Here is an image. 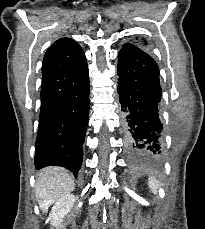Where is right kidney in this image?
Segmentation results:
<instances>
[{"label": "right kidney", "instance_id": "right-kidney-1", "mask_svg": "<svg viewBox=\"0 0 205 229\" xmlns=\"http://www.w3.org/2000/svg\"><path fill=\"white\" fill-rule=\"evenodd\" d=\"M75 202V196L68 194L60 198L52 207V210L49 214V219L52 226H58L63 221L65 215L70 212Z\"/></svg>", "mask_w": 205, "mask_h": 229}]
</instances>
